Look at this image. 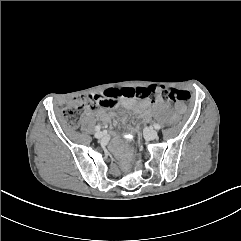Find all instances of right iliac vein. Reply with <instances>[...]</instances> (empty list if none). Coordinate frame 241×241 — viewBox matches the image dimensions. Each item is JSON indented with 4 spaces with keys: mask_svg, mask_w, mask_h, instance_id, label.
Returning a JSON list of instances; mask_svg holds the SVG:
<instances>
[{
    "mask_svg": "<svg viewBox=\"0 0 241 241\" xmlns=\"http://www.w3.org/2000/svg\"><path fill=\"white\" fill-rule=\"evenodd\" d=\"M95 137H96L97 139H101V138L104 137V134L99 131V132H96V133H95Z\"/></svg>",
    "mask_w": 241,
    "mask_h": 241,
    "instance_id": "1",
    "label": "right iliac vein"
}]
</instances>
